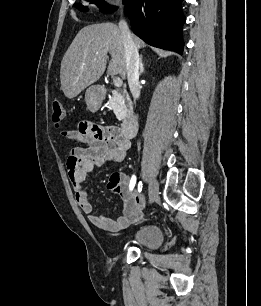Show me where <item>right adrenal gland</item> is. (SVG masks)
<instances>
[{
  "instance_id": "obj_1",
  "label": "right adrenal gland",
  "mask_w": 261,
  "mask_h": 306,
  "mask_svg": "<svg viewBox=\"0 0 261 306\" xmlns=\"http://www.w3.org/2000/svg\"><path fill=\"white\" fill-rule=\"evenodd\" d=\"M144 72V64L142 61V55L140 56V75Z\"/></svg>"
}]
</instances>
